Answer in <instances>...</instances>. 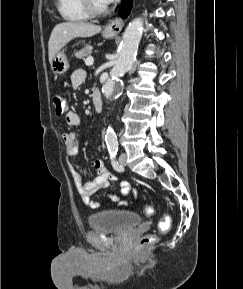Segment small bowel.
<instances>
[{"label": "small bowel", "mask_w": 243, "mask_h": 289, "mask_svg": "<svg viewBox=\"0 0 243 289\" xmlns=\"http://www.w3.org/2000/svg\"><path fill=\"white\" fill-rule=\"evenodd\" d=\"M86 74L82 69L74 71L71 75V85L74 89L81 86L85 80ZM66 122L71 127H76L81 124L80 115L75 111H68L65 116ZM62 141L65 146V154L67 158L71 159L78 155L80 150L79 142L76 138L74 131H66L62 134ZM94 168L97 172V176L87 182L82 183L78 179V174L76 170L72 167L71 172L76 181L77 190L85 203L86 206L95 209L100 207V203L94 200V196L100 193H106L108 197L117 202L119 205H126V202L119 196H116L108 190V187L112 181H117L118 178L111 173L105 166L104 162L97 158L94 160ZM119 187L121 190L122 196H127L131 190V185L127 181H119Z\"/></svg>", "instance_id": "small-bowel-1"}]
</instances>
